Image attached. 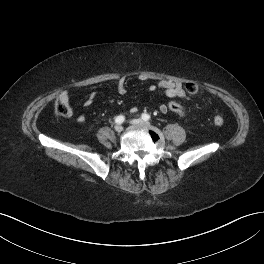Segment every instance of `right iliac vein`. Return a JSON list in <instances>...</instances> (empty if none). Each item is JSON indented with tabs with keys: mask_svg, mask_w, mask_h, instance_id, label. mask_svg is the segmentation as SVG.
<instances>
[{
	"mask_svg": "<svg viewBox=\"0 0 264 264\" xmlns=\"http://www.w3.org/2000/svg\"><path fill=\"white\" fill-rule=\"evenodd\" d=\"M122 130H123V127L121 125H116L115 126V131L116 132L120 133V132H122Z\"/></svg>",
	"mask_w": 264,
	"mask_h": 264,
	"instance_id": "1",
	"label": "right iliac vein"
}]
</instances>
